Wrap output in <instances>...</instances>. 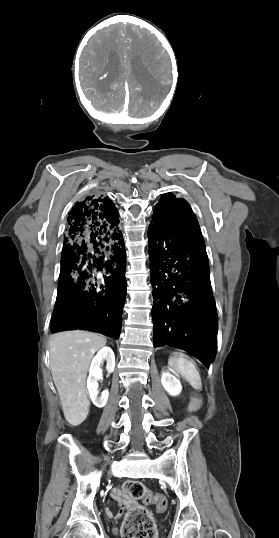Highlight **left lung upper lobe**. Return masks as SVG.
<instances>
[{"label": "left lung upper lobe", "instance_id": "1", "mask_svg": "<svg viewBox=\"0 0 279 538\" xmlns=\"http://www.w3.org/2000/svg\"><path fill=\"white\" fill-rule=\"evenodd\" d=\"M156 228L172 229L201 234L198 221L190 205L172 193L164 194L154 209L153 223Z\"/></svg>", "mask_w": 279, "mask_h": 538}]
</instances>
